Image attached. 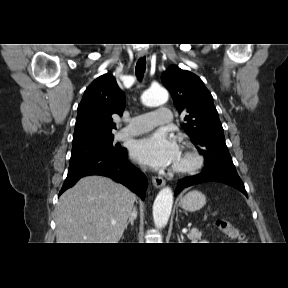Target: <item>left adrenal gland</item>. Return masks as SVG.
I'll return each mask as SVG.
<instances>
[{
    "label": "left adrenal gland",
    "instance_id": "left-adrenal-gland-1",
    "mask_svg": "<svg viewBox=\"0 0 288 288\" xmlns=\"http://www.w3.org/2000/svg\"><path fill=\"white\" fill-rule=\"evenodd\" d=\"M182 239H183V237H181ZM178 240L180 241V238H179V236H178Z\"/></svg>",
    "mask_w": 288,
    "mask_h": 288
}]
</instances>
